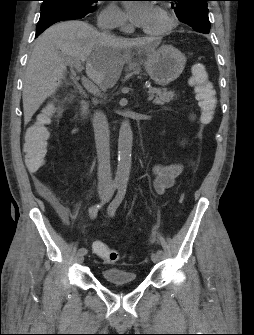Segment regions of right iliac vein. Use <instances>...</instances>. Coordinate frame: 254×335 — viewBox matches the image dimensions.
Wrapping results in <instances>:
<instances>
[{"instance_id":"63e3f726","label":"right iliac vein","mask_w":254,"mask_h":335,"mask_svg":"<svg viewBox=\"0 0 254 335\" xmlns=\"http://www.w3.org/2000/svg\"><path fill=\"white\" fill-rule=\"evenodd\" d=\"M100 197H101V199H106V198L108 197V193H107V192H102V193L100 194ZM76 261H77L78 263H82V262L84 261V254L78 252V253L76 254Z\"/></svg>"}]
</instances>
